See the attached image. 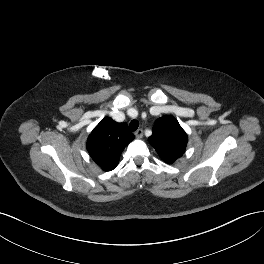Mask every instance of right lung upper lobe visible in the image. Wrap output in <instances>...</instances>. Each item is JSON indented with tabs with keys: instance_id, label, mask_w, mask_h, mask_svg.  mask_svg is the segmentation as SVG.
Wrapping results in <instances>:
<instances>
[{
	"instance_id": "cb5924a9",
	"label": "right lung upper lobe",
	"mask_w": 264,
	"mask_h": 264,
	"mask_svg": "<svg viewBox=\"0 0 264 264\" xmlns=\"http://www.w3.org/2000/svg\"><path fill=\"white\" fill-rule=\"evenodd\" d=\"M133 139L124 123L105 117L89 135L86 147L96 164L104 171H111L118 165L123 149Z\"/></svg>"
}]
</instances>
